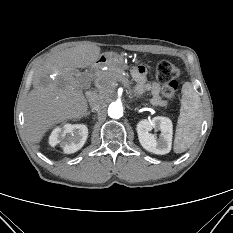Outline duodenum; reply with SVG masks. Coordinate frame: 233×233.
I'll return each mask as SVG.
<instances>
[{"mask_svg": "<svg viewBox=\"0 0 233 233\" xmlns=\"http://www.w3.org/2000/svg\"><path fill=\"white\" fill-rule=\"evenodd\" d=\"M105 61L104 59H99L97 60L94 64H93V67L94 68H97L98 66H100L102 64V62Z\"/></svg>", "mask_w": 233, "mask_h": 233, "instance_id": "410a0bca", "label": "duodenum"}]
</instances>
